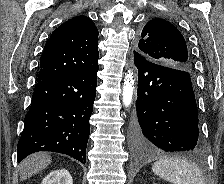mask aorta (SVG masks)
<instances>
[{"label":"aorta","instance_id":"obj_1","mask_svg":"<svg viewBox=\"0 0 224 184\" xmlns=\"http://www.w3.org/2000/svg\"><path fill=\"white\" fill-rule=\"evenodd\" d=\"M134 93V79L131 71L125 75L122 91V101L125 107H129L132 103Z\"/></svg>","mask_w":224,"mask_h":184}]
</instances>
